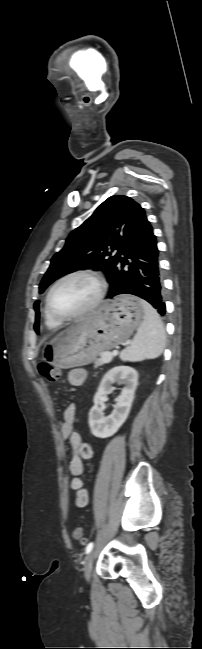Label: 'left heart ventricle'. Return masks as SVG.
Masks as SVG:
<instances>
[{
	"label": "left heart ventricle",
	"mask_w": 202,
	"mask_h": 649,
	"mask_svg": "<svg viewBox=\"0 0 202 649\" xmlns=\"http://www.w3.org/2000/svg\"><path fill=\"white\" fill-rule=\"evenodd\" d=\"M96 294L97 286L92 279L74 276L57 286L51 297V306L57 314L69 316L89 305Z\"/></svg>",
	"instance_id": "b2bd125f"
}]
</instances>
